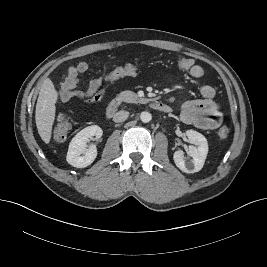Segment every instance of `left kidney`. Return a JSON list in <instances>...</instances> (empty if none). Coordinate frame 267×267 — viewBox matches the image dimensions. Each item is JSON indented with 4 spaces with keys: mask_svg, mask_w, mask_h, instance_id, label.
Listing matches in <instances>:
<instances>
[{
    "mask_svg": "<svg viewBox=\"0 0 267 267\" xmlns=\"http://www.w3.org/2000/svg\"><path fill=\"white\" fill-rule=\"evenodd\" d=\"M188 140L194 144L189 146L187 154L192 159L186 161L184 159L183 151H175L173 155L176 166L185 173H195L202 169L207 153L208 143L207 139L199 132L194 130L186 131Z\"/></svg>",
    "mask_w": 267,
    "mask_h": 267,
    "instance_id": "5707ae66",
    "label": "left kidney"
}]
</instances>
